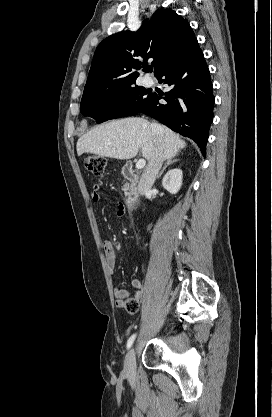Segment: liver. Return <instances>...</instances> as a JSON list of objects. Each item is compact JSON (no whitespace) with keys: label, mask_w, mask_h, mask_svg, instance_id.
Here are the masks:
<instances>
[{"label":"liver","mask_w":272,"mask_h":417,"mask_svg":"<svg viewBox=\"0 0 272 417\" xmlns=\"http://www.w3.org/2000/svg\"><path fill=\"white\" fill-rule=\"evenodd\" d=\"M161 126V125H160ZM164 159L173 158L186 146L185 141L171 129L161 126ZM155 147L151 124L143 118H125L104 123L82 135L76 145L77 154L92 153L101 157L131 159L141 149L150 161Z\"/></svg>","instance_id":"1"}]
</instances>
